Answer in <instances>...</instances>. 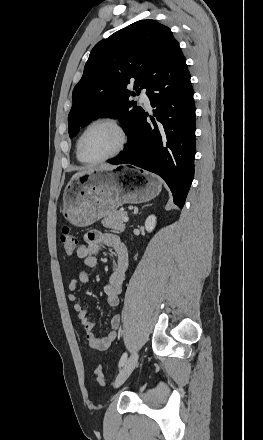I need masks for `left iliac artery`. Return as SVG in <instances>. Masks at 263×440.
I'll return each instance as SVG.
<instances>
[{"label": "left iliac artery", "mask_w": 263, "mask_h": 440, "mask_svg": "<svg viewBox=\"0 0 263 440\" xmlns=\"http://www.w3.org/2000/svg\"><path fill=\"white\" fill-rule=\"evenodd\" d=\"M127 359V353H124L119 361V367H121Z\"/></svg>", "instance_id": "left-iliac-artery-1"}]
</instances>
